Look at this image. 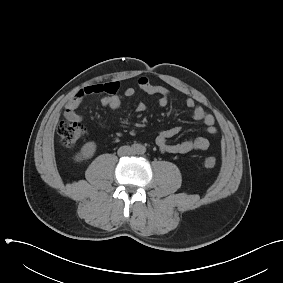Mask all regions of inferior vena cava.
Returning a JSON list of instances; mask_svg holds the SVG:
<instances>
[{
	"label": "inferior vena cava",
	"instance_id": "obj_1",
	"mask_svg": "<svg viewBox=\"0 0 283 283\" xmlns=\"http://www.w3.org/2000/svg\"><path fill=\"white\" fill-rule=\"evenodd\" d=\"M133 154V149L130 146H121L118 149L119 156H127Z\"/></svg>",
	"mask_w": 283,
	"mask_h": 283
}]
</instances>
